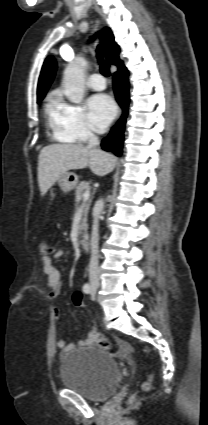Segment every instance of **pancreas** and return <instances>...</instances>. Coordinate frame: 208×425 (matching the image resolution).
Returning a JSON list of instances; mask_svg holds the SVG:
<instances>
[{
    "label": "pancreas",
    "instance_id": "obj_1",
    "mask_svg": "<svg viewBox=\"0 0 208 425\" xmlns=\"http://www.w3.org/2000/svg\"><path fill=\"white\" fill-rule=\"evenodd\" d=\"M90 189H91L90 184L88 182H85V181L81 182L77 186L76 191H75V195H76V198H75L76 207H78L79 202L83 199L84 193L86 191H90ZM88 209H89V204H87V206H86V209H85L84 215H83V219H82V222H81V225H80V229H79V235H81L83 237L85 236L86 231H87V214H88ZM79 242H81V241H79Z\"/></svg>",
    "mask_w": 208,
    "mask_h": 425
}]
</instances>
